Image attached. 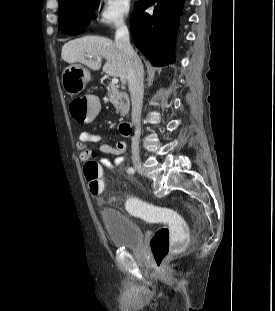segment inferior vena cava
<instances>
[{
  "mask_svg": "<svg viewBox=\"0 0 275 311\" xmlns=\"http://www.w3.org/2000/svg\"><path fill=\"white\" fill-rule=\"evenodd\" d=\"M115 44L123 51L128 60V87L132 103V124L136 131L132 137V157H139L140 117L144 92V70L137 53L133 50L129 41V31L125 24H120L115 33Z\"/></svg>",
  "mask_w": 275,
  "mask_h": 311,
  "instance_id": "1",
  "label": "inferior vena cava"
}]
</instances>
